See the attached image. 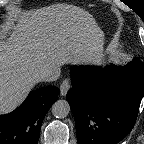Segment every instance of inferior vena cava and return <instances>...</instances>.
<instances>
[{"label":"inferior vena cava","instance_id":"obj_1","mask_svg":"<svg viewBox=\"0 0 144 144\" xmlns=\"http://www.w3.org/2000/svg\"><path fill=\"white\" fill-rule=\"evenodd\" d=\"M60 76L59 68H50L43 72L40 79L43 81H56Z\"/></svg>","mask_w":144,"mask_h":144}]
</instances>
